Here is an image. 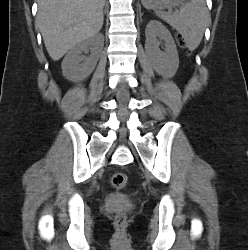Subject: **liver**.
<instances>
[{"instance_id":"liver-1","label":"liver","mask_w":248,"mask_h":250,"mask_svg":"<svg viewBox=\"0 0 248 250\" xmlns=\"http://www.w3.org/2000/svg\"><path fill=\"white\" fill-rule=\"evenodd\" d=\"M36 22L54 61L95 36L103 25L105 0H38Z\"/></svg>"}]
</instances>
